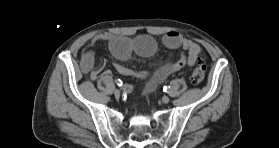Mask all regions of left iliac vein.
Returning <instances> with one entry per match:
<instances>
[{
    "instance_id": "left-iliac-vein-1",
    "label": "left iliac vein",
    "mask_w": 279,
    "mask_h": 148,
    "mask_svg": "<svg viewBox=\"0 0 279 148\" xmlns=\"http://www.w3.org/2000/svg\"><path fill=\"white\" fill-rule=\"evenodd\" d=\"M169 101H170V98L168 96H163L162 97V102L163 103H169Z\"/></svg>"
}]
</instances>
